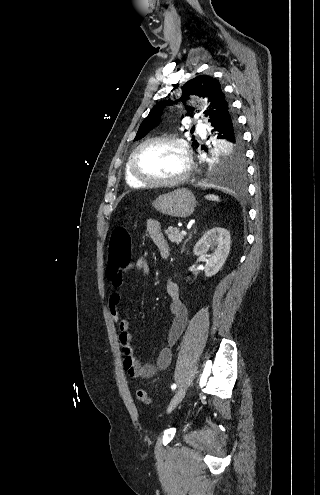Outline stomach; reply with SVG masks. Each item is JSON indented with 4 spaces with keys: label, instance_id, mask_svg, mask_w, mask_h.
I'll use <instances>...</instances> for the list:
<instances>
[{
    "label": "stomach",
    "instance_id": "stomach-1",
    "mask_svg": "<svg viewBox=\"0 0 320 495\" xmlns=\"http://www.w3.org/2000/svg\"><path fill=\"white\" fill-rule=\"evenodd\" d=\"M196 204L191 191L185 188L160 195L152 206L156 211L169 216L186 218L193 214Z\"/></svg>",
    "mask_w": 320,
    "mask_h": 495
}]
</instances>
